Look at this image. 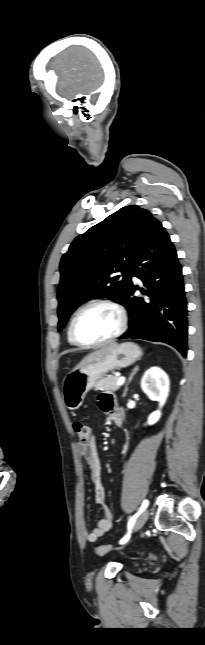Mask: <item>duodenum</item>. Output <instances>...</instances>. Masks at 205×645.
Wrapping results in <instances>:
<instances>
[{"mask_svg": "<svg viewBox=\"0 0 205 645\" xmlns=\"http://www.w3.org/2000/svg\"><path fill=\"white\" fill-rule=\"evenodd\" d=\"M115 420H116V422H117L118 424L120 423V418H119V417H118V418H116Z\"/></svg>", "mask_w": 205, "mask_h": 645, "instance_id": "obj_1", "label": "duodenum"}]
</instances>
